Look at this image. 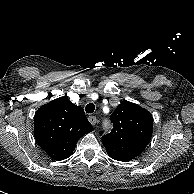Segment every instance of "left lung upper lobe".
<instances>
[{
    "mask_svg": "<svg viewBox=\"0 0 194 194\" xmlns=\"http://www.w3.org/2000/svg\"><path fill=\"white\" fill-rule=\"evenodd\" d=\"M111 121L112 131L102 137L111 158L129 161L145 150L153 132V118L149 111L124 101L112 113Z\"/></svg>",
    "mask_w": 194,
    "mask_h": 194,
    "instance_id": "1",
    "label": "left lung upper lobe"
}]
</instances>
